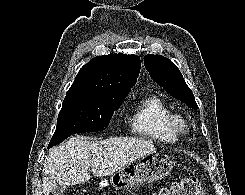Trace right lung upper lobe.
<instances>
[{
    "instance_id": "obj_1",
    "label": "right lung upper lobe",
    "mask_w": 245,
    "mask_h": 195,
    "mask_svg": "<svg viewBox=\"0 0 245 195\" xmlns=\"http://www.w3.org/2000/svg\"><path fill=\"white\" fill-rule=\"evenodd\" d=\"M140 68L141 61L137 55L119 53L97 56L80 69L67 95L125 99L137 81Z\"/></svg>"
}]
</instances>
